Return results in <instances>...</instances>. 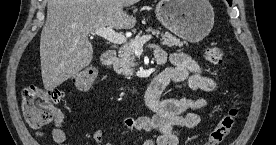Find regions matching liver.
I'll return each mask as SVG.
<instances>
[{"label": "liver", "instance_id": "1", "mask_svg": "<svg viewBox=\"0 0 276 145\" xmlns=\"http://www.w3.org/2000/svg\"><path fill=\"white\" fill-rule=\"evenodd\" d=\"M138 0H48L40 37L43 85L54 89L87 67L93 58L88 36L97 28L130 29L136 19L123 11Z\"/></svg>", "mask_w": 276, "mask_h": 145}]
</instances>
